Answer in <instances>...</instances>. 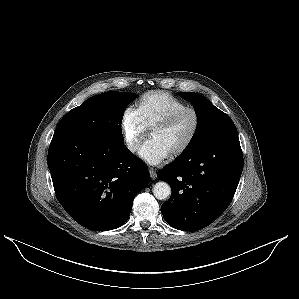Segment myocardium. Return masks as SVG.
<instances>
[{"instance_id": "1", "label": "myocardium", "mask_w": 299, "mask_h": 299, "mask_svg": "<svg viewBox=\"0 0 299 299\" xmlns=\"http://www.w3.org/2000/svg\"><path fill=\"white\" fill-rule=\"evenodd\" d=\"M186 114H191L194 118V125L191 131V134L187 138V140L175 151H173L170 156L172 158L179 157L183 155L185 152L188 151V149L192 146L194 143L199 129H200V124H201V118L198 113V111L194 108L191 107H186L184 109H181L179 111H176L167 117L163 118L162 120L156 122L151 128H150V134L156 130V129H166L173 125L176 121H178L181 117H183Z\"/></svg>"}]
</instances>
